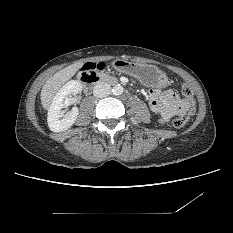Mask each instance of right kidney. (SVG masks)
<instances>
[{
    "mask_svg": "<svg viewBox=\"0 0 233 233\" xmlns=\"http://www.w3.org/2000/svg\"><path fill=\"white\" fill-rule=\"evenodd\" d=\"M81 90L82 84L79 81L71 80L55 95L47 117L48 126L51 131H65L74 124L79 113L78 108L73 107L66 116H63L61 109L69 106L71 104V95L77 94Z\"/></svg>",
    "mask_w": 233,
    "mask_h": 233,
    "instance_id": "1",
    "label": "right kidney"
}]
</instances>
